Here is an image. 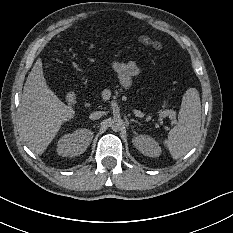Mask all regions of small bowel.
I'll use <instances>...</instances> for the list:
<instances>
[{"instance_id": "1", "label": "small bowel", "mask_w": 233, "mask_h": 233, "mask_svg": "<svg viewBox=\"0 0 233 233\" xmlns=\"http://www.w3.org/2000/svg\"><path fill=\"white\" fill-rule=\"evenodd\" d=\"M114 71L118 74L119 81L124 89H130L132 80L140 75V68L134 61L121 62L116 61L112 65Z\"/></svg>"}]
</instances>
